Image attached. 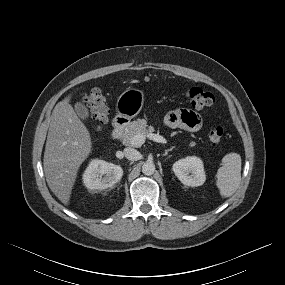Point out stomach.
<instances>
[{
  "instance_id": "1",
  "label": "stomach",
  "mask_w": 285,
  "mask_h": 285,
  "mask_svg": "<svg viewBox=\"0 0 285 285\" xmlns=\"http://www.w3.org/2000/svg\"><path fill=\"white\" fill-rule=\"evenodd\" d=\"M143 105V92L138 89L128 88L118 97L116 108L119 117L128 121L140 113Z\"/></svg>"
}]
</instances>
